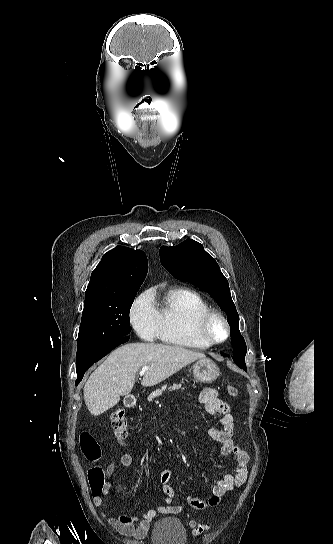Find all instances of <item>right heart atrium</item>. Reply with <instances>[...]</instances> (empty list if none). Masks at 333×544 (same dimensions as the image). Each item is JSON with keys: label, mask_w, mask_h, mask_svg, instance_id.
<instances>
[{"label": "right heart atrium", "mask_w": 333, "mask_h": 544, "mask_svg": "<svg viewBox=\"0 0 333 544\" xmlns=\"http://www.w3.org/2000/svg\"><path fill=\"white\" fill-rule=\"evenodd\" d=\"M131 324L144 340L153 341L160 334V318L150 291L142 293L133 303L130 312Z\"/></svg>", "instance_id": "1"}]
</instances>
